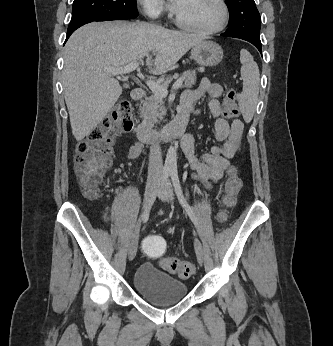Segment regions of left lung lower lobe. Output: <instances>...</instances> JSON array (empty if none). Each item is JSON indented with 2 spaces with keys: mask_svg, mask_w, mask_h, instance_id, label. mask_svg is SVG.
<instances>
[{
  "mask_svg": "<svg viewBox=\"0 0 333 346\" xmlns=\"http://www.w3.org/2000/svg\"><path fill=\"white\" fill-rule=\"evenodd\" d=\"M221 35L222 36L234 37V38H240V39L246 40V41L252 43L261 52V42L260 41H255V40L248 39V38H245L243 36H240L238 34L228 33V32H225V33H223Z\"/></svg>",
  "mask_w": 333,
  "mask_h": 346,
  "instance_id": "0a47b994",
  "label": "left lung lower lobe"
}]
</instances>
